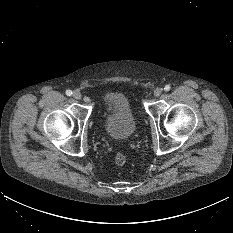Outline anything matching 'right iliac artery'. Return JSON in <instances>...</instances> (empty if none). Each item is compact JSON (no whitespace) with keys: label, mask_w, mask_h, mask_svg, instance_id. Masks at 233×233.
Wrapping results in <instances>:
<instances>
[{"label":"right iliac artery","mask_w":233,"mask_h":233,"mask_svg":"<svg viewBox=\"0 0 233 233\" xmlns=\"http://www.w3.org/2000/svg\"><path fill=\"white\" fill-rule=\"evenodd\" d=\"M72 94H73V93H72L71 90H67V91H66V95H67V96H71Z\"/></svg>","instance_id":"obj_1"}]
</instances>
